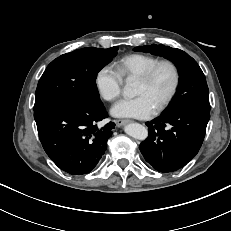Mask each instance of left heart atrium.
I'll use <instances>...</instances> for the list:
<instances>
[{
  "label": "left heart atrium",
  "mask_w": 231,
  "mask_h": 231,
  "mask_svg": "<svg viewBox=\"0 0 231 231\" xmlns=\"http://www.w3.org/2000/svg\"><path fill=\"white\" fill-rule=\"evenodd\" d=\"M156 108L144 95L133 98H123L111 109L116 117L146 119L155 113Z\"/></svg>",
  "instance_id": "obj_1"
}]
</instances>
